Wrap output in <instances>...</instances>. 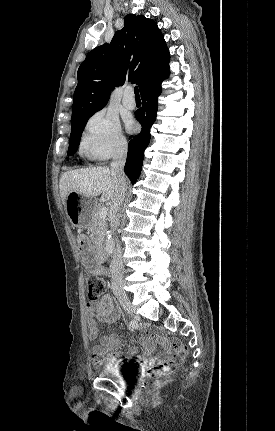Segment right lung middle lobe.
<instances>
[{
  "instance_id": "1",
  "label": "right lung middle lobe",
  "mask_w": 275,
  "mask_h": 431,
  "mask_svg": "<svg viewBox=\"0 0 275 431\" xmlns=\"http://www.w3.org/2000/svg\"><path fill=\"white\" fill-rule=\"evenodd\" d=\"M90 116L83 118L75 123H72V130L70 134V144L68 149L69 156L73 155L77 151L82 132Z\"/></svg>"
}]
</instances>
